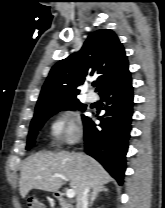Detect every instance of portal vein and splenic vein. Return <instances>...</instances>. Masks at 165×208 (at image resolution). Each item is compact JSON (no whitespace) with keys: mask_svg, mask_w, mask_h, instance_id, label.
Returning a JSON list of instances; mask_svg holds the SVG:
<instances>
[{"mask_svg":"<svg viewBox=\"0 0 165 208\" xmlns=\"http://www.w3.org/2000/svg\"><path fill=\"white\" fill-rule=\"evenodd\" d=\"M53 176H54V177H57V178H61V179L64 180V181H68L67 177H65V176H63V175H61V174H54ZM66 196H67L68 198H73V197H75V191H74L73 189H67V191H66Z\"/></svg>","mask_w":165,"mask_h":208,"instance_id":"1","label":"portal vein and splenic vein"}]
</instances>
